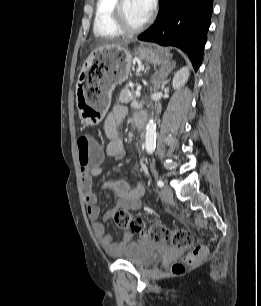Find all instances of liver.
I'll use <instances>...</instances> for the list:
<instances>
[{
  "label": "liver",
  "mask_w": 261,
  "mask_h": 306,
  "mask_svg": "<svg viewBox=\"0 0 261 306\" xmlns=\"http://www.w3.org/2000/svg\"><path fill=\"white\" fill-rule=\"evenodd\" d=\"M128 44H129V41L105 43V44L102 45L100 48H106V47H111V48H123V47H126Z\"/></svg>",
  "instance_id": "obj_1"
}]
</instances>
